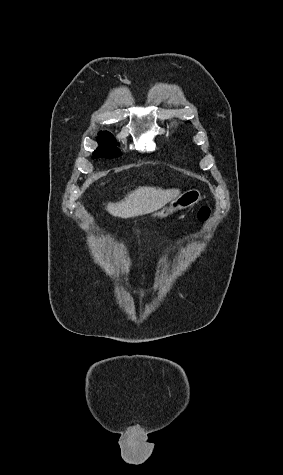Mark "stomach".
<instances>
[{
  "mask_svg": "<svg viewBox=\"0 0 283 475\" xmlns=\"http://www.w3.org/2000/svg\"><path fill=\"white\" fill-rule=\"evenodd\" d=\"M201 200V194L199 190H188L185 194H181L179 198H176L174 202H171L168 208H162L160 212H155L152 214V218H167L169 214L177 212V210H186V208H191L195 206Z\"/></svg>",
  "mask_w": 283,
  "mask_h": 475,
  "instance_id": "obj_1",
  "label": "stomach"
}]
</instances>
